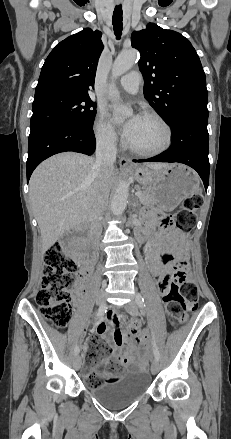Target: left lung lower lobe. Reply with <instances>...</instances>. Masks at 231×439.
Listing matches in <instances>:
<instances>
[{
    "label": "left lung lower lobe",
    "instance_id": "left-lung-lower-lobe-1",
    "mask_svg": "<svg viewBox=\"0 0 231 439\" xmlns=\"http://www.w3.org/2000/svg\"><path fill=\"white\" fill-rule=\"evenodd\" d=\"M208 109L194 108L178 113L172 123V144L158 156L134 162H179L195 169L203 180L205 189L209 184L208 159L209 134L207 130Z\"/></svg>",
    "mask_w": 231,
    "mask_h": 439
}]
</instances>
